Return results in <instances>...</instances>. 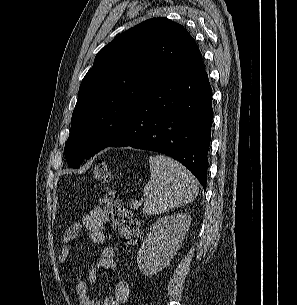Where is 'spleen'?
<instances>
[{
	"label": "spleen",
	"instance_id": "obj_1",
	"mask_svg": "<svg viewBox=\"0 0 297 305\" xmlns=\"http://www.w3.org/2000/svg\"><path fill=\"white\" fill-rule=\"evenodd\" d=\"M150 179L144 187L147 199L143 213L161 214L192 202L198 195L196 178L179 162L163 156H150Z\"/></svg>",
	"mask_w": 297,
	"mask_h": 305
}]
</instances>
